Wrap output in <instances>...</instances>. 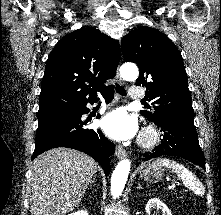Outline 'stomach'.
<instances>
[{
  "instance_id": "stomach-1",
  "label": "stomach",
  "mask_w": 221,
  "mask_h": 215,
  "mask_svg": "<svg viewBox=\"0 0 221 215\" xmlns=\"http://www.w3.org/2000/svg\"><path fill=\"white\" fill-rule=\"evenodd\" d=\"M163 174L164 169L161 166L148 164L143 168L141 178L147 182H158L162 179Z\"/></svg>"
}]
</instances>
